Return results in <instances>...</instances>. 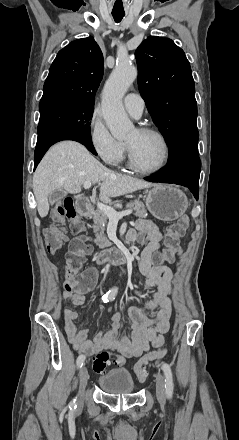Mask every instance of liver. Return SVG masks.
<instances>
[{"label":"liver","instance_id":"1","mask_svg":"<svg viewBox=\"0 0 239 440\" xmlns=\"http://www.w3.org/2000/svg\"><path fill=\"white\" fill-rule=\"evenodd\" d=\"M84 182H102L100 200L156 186L108 170L78 142H59L48 150L33 174V192L40 218H45L49 212L51 192L63 188L69 194H80Z\"/></svg>","mask_w":239,"mask_h":440}]
</instances>
